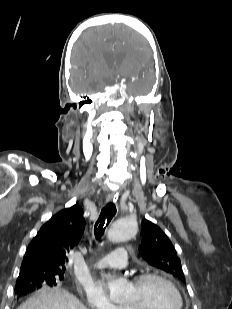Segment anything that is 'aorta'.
<instances>
[{
	"label": "aorta",
	"instance_id": "aorta-1",
	"mask_svg": "<svg viewBox=\"0 0 232 309\" xmlns=\"http://www.w3.org/2000/svg\"><path fill=\"white\" fill-rule=\"evenodd\" d=\"M137 232V224L128 218L116 220L110 230L107 238L112 243H120L132 238ZM110 291V298L114 302L124 299L128 287V283L124 279H109L107 282Z\"/></svg>",
	"mask_w": 232,
	"mask_h": 309
}]
</instances>
